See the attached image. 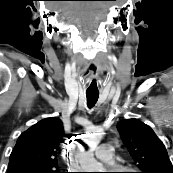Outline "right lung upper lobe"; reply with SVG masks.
<instances>
[{"mask_svg":"<svg viewBox=\"0 0 173 173\" xmlns=\"http://www.w3.org/2000/svg\"><path fill=\"white\" fill-rule=\"evenodd\" d=\"M65 137L62 121L46 118L23 132L11 152L7 173L57 170Z\"/></svg>","mask_w":173,"mask_h":173,"instance_id":"right-lung-upper-lobe-1","label":"right lung upper lobe"}]
</instances>
